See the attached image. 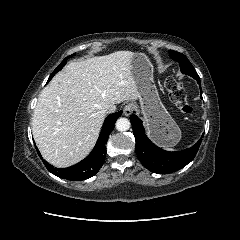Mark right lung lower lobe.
I'll list each match as a JSON object with an SVG mask.
<instances>
[{"mask_svg": "<svg viewBox=\"0 0 240 240\" xmlns=\"http://www.w3.org/2000/svg\"><path fill=\"white\" fill-rule=\"evenodd\" d=\"M121 114H122V111H119L109 115L105 119L100 136L98 138V141L94 149L84 160H82L81 162H79L74 166L63 168V169L54 168L48 162L43 160L46 168L54 175L64 179H69V180H75V181L85 180L94 176L104 164V160L106 157L105 144L108 140L110 133L114 128V124L116 120ZM36 150L38 155L41 157V154L38 151L37 147H36Z\"/></svg>", "mask_w": 240, "mask_h": 240, "instance_id": "98d812e1", "label": "right lung lower lobe"}]
</instances>
